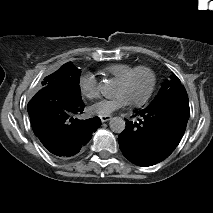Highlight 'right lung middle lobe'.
Listing matches in <instances>:
<instances>
[{
  "label": "right lung middle lobe",
  "instance_id": "dd1d6c3e",
  "mask_svg": "<svg viewBox=\"0 0 213 213\" xmlns=\"http://www.w3.org/2000/svg\"><path fill=\"white\" fill-rule=\"evenodd\" d=\"M79 80L80 72L72 62H68L61 66L55 73L45 77L42 85L61 87L69 93L81 97Z\"/></svg>",
  "mask_w": 213,
  "mask_h": 213
}]
</instances>
